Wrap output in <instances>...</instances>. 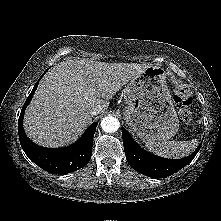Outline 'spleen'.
<instances>
[{
  "mask_svg": "<svg viewBox=\"0 0 221 221\" xmlns=\"http://www.w3.org/2000/svg\"><path fill=\"white\" fill-rule=\"evenodd\" d=\"M145 146L158 156L178 159L191 154L197 148L198 140L146 142Z\"/></svg>",
  "mask_w": 221,
  "mask_h": 221,
  "instance_id": "3e777b00",
  "label": "spleen"
}]
</instances>
